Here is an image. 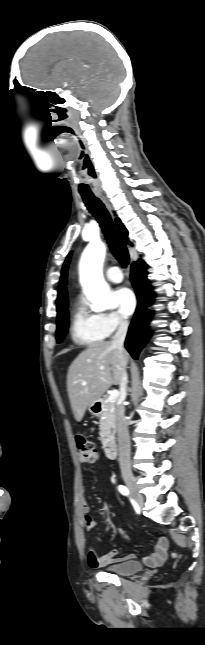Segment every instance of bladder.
<instances>
[{
  "instance_id": "obj_1",
  "label": "bladder",
  "mask_w": 205,
  "mask_h": 645,
  "mask_svg": "<svg viewBox=\"0 0 205 645\" xmlns=\"http://www.w3.org/2000/svg\"><path fill=\"white\" fill-rule=\"evenodd\" d=\"M142 564L136 560H124L120 561L105 567V570L109 573L120 575V576H130L137 574L142 570Z\"/></svg>"
}]
</instances>
